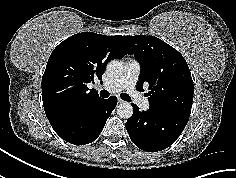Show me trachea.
<instances>
[{"instance_id":"trachea-1","label":"trachea","mask_w":236,"mask_h":178,"mask_svg":"<svg viewBox=\"0 0 236 178\" xmlns=\"http://www.w3.org/2000/svg\"><path fill=\"white\" fill-rule=\"evenodd\" d=\"M100 96H101L102 98H108V97H109V93H108L107 91H105V90H101V91H100ZM120 96H121V98H122L123 100H125V101H128V102L131 101L130 96H129L128 94H126V93H122Z\"/></svg>"}]
</instances>
